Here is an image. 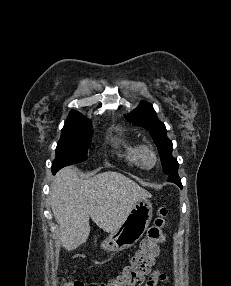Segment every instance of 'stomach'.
<instances>
[{"instance_id": "1", "label": "stomach", "mask_w": 231, "mask_h": 286, "mask_svg": "<svg viewBox=\"0 0 231 286\" xmlns=\"http://www.w3.org/2000/svg\"><path fill=\"white\" fill-rule=\"evenodd\" d=\"M152 204L139 200L126 216L120 227L100 244L105 251H123L132 247L145 233L152 219Z\"/></svg>"}]
</instances>
